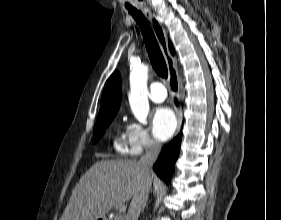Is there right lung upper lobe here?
Instances as JSON below:
<instances>
[{
	"label": "right lung upper lobe",
	"mask_w": 281,
	"mask_h": 220,
	"mask_svg": "<svg viewBox=\"0 0 281 220\" xmlns=\"http://www.w3.org/2000/svg\"><path fill=\"white\" fill-rule=\"evenodd\" d=\"M170 51L174 54L172 44L169 43ZM122 97L121 79L118 71H115L106 81L99 111V117L116 115Z\"/></svg>",
	"instance_id": "obj_1"
}]
</instances>
